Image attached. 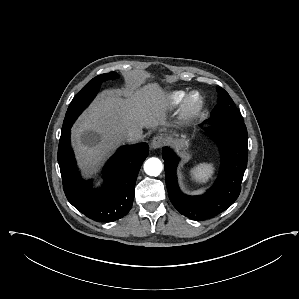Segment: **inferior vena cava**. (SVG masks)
I'll use <instances>...</instances> for the list:
<instances>
[{
  "instance_id": "inferior-vena-cava-1",
  "label": "inferior vena cava",
  "mask_w": 299,
  "mask_h": 299,
  "mask_svg": "<svg viewBox=\"0 0 299 299\" xmlns=\"http://www.w3.org/2000/svg\"><path fill=\"white\" fill-rule=\"evenodd\" d=\"M143 137L141 129H131L128 131L126 140L128 142L140 140Z\"/></svg>"
}]
</instances>
